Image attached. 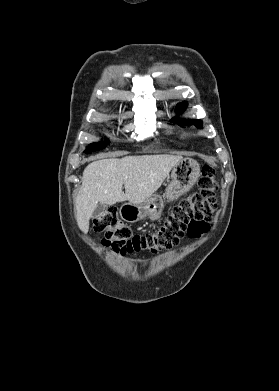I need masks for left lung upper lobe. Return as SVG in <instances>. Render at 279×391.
<instances>
[{
  "label": "left lung upper lobe",
  "mask_w": 279,
  "mask_h": 391,
  "mask_svg": "<svg viewBox=\"0 0 279 391\" xmlns=\"http://www.w3.org/2000/svg\"><path fill=\"white\" fill-rule=\"evenodd\" d=\"M186 107H187L186 103L178 104L177 105V113H181L182 111H184L186 109ZM171 121L178 122V120H176V119H172ZM179 123H181L183 125L196 123L198 127L202 126V121L195 120V119L194 120H180Z\"/></svg>",
  "instance_id": "obj_1"
}]
</instances>
